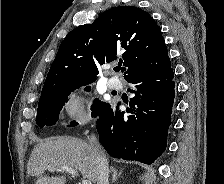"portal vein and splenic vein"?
I'll list each match as a JSON object with an SVG mask.
<instances>
[{
  "label": "portal vein and splenic vein",
  "mask_w": 224,
  "mask_h": 184,
  "mask_svg": "<svg viewBox=\"0 0 224 184\" xmlns=\"http://www.w3.org/2000/svg\"><path fill=\"white\" fill-rule=\"evenodd\" d=\"M49 171H63L72 174L73 176H78V173L75 169L68 167H51L48 169ZM81 184V183H79ZM82 184H92L90 180L83 179Z\"/></svg>",
  "instance_id": "obj_1"
}]
</instances>
